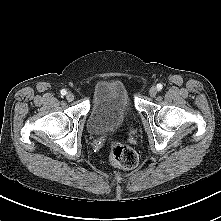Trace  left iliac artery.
<instances>
[{
  "mask_svg": "<svg viewBox=\"0 0 221 221\" xmlns=\"http://www.w3.org/2000/svg\"><path fill=\"white\" fill-rule=\"evenodd\" d=\"M162 88H163L162 84H158V85H157V89H158V90H161Z\"/></svg>",
  "mask_w": 221,
  "mask_h": 221,
  "instance_id": "left-iliac-artery-1",
  "label": "left iliac artery"
}]
</instances>
